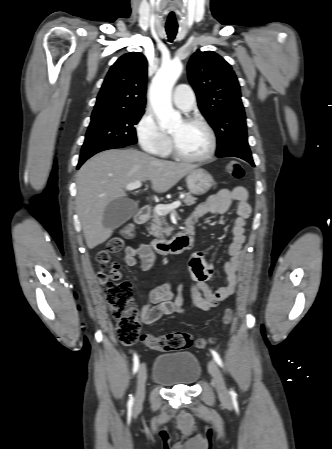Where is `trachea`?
I'll return each instance as SVG.
<instances>
[{
    "mask_svg": "<svg viewBox=\"0 0 332 449\" xmlns=\"http://www.w3.org/2000/svg\"><path fill=\"white\" fill-rule=\"evenodd\" d=\"M166 32L168 35L169 42H172L177 34L178 27L177 26H166Z\"/></svg>",
    "mask_w": 332,
    "mask_h": 449,
    "instance_id": "1",
    "label": "trachea"
}]
</instances>
